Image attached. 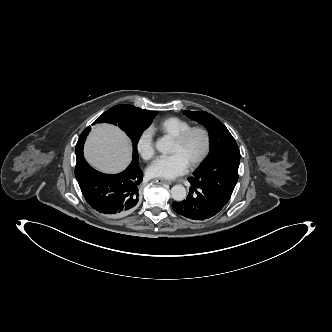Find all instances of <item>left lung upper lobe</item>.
<instances>
[{"label": "left lung upper lobe", "instance_id": "5c2ea615", "mask_svg": "<svg viewBox=\"0 0 332 332\" xmlns=\"http://www.w3.org/2000/svg\"><path fill=\"white\" fill-rule=\"evenodd\" d=\"M201 123L210 135L211 150L190 179L229 201L238 180L240 151L228 129L205 111H183Z\"/></svg>", "mask_w": 332, "mask_h": 332}]
</instances>
